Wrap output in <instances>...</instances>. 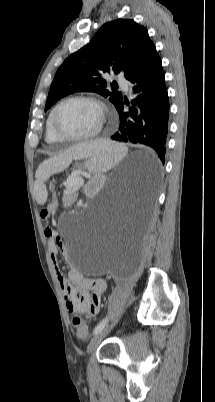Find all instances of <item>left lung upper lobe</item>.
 Instances as JSON below:
<instances>
[{
  "label": "left lung upper lobe",
  "instance_id": "5c2ea615",
  "mask_svg": "<svg viewBox=\"0 0 215 402\" xmlns=\"http://www.w3.org/2000/svg\"><path fill=\"white\" fill-rule=\"evenodd\" d=\"M158 56L145 27L131 19L108 22L86 46L71 54L59 67L45 111L62 97L81 91L108 97L116 107L123 96L120 92L107 90L103 75L111 71L115 74L123 72L129 79Z\"/></svg>",
  "mask_w": 215,
  "mask_h": 402
}]
</instances>
